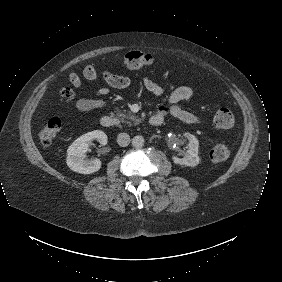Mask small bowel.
Returning <instances> with one entry per match:
<instances>
[{"label":"small bowel","mask_w":282,"mask_h":282,"mask_svg":"<svg viewBox=\"0 0 282 282\" xmlns=\"http://www.w3.org/2000/svg\"><path fill=\"white\" fill-rule=\"evenodd\" d=\"M83 77L90 81H103L107 87H103L94 92L92 97L81 98L76 101V108L79 111H91L102 109L107 106V101L103 98L109 92V88L124 89L130 86L131 80L128 77L118 75L108 70L99 71L92 64L86 65L82 70ZM68 80L75 89L82 87V79L76 72L68 74ZM141 85L155 96H161L164 93V87L161 83L148 77H142ZM193 96V89L189 86L177 87L168 98V106H162L154 116H161L164 120L167 114L187 124L200 125L202 119L195 113L183 109L179 104Z\"/></svg>","instance_id":"obj_1"}]
</instances>
